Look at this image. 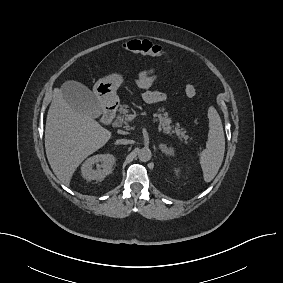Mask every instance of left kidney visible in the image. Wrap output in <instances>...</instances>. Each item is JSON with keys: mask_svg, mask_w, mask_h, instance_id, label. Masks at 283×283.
I'll use <instances>...</instances> for the list:
<instances>
[{"mask_svg": "<svg viewBox=\"0 0 283 283\" xmlns=\"http://www.w3.org/2000/svg\"><path fill=\"white\" fill-rule=\"evenodd\" d=\"M174 172L176 175H179V169H175Z\"/></svg>", "mask_w": 283, "mask_h": 283, "instance_id": "5707ae66", "label": "left kidney"}]
</instances>
